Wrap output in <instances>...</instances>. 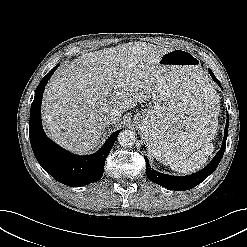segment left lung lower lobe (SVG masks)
<instances>
[{"label": "left lung lower lobe", "mask_w": 247, "mask_h": 247, "mask_svg": "<svg viewBox=\"0 0 247 247\" xmlns=\"http://www.w3.org/2000/svg\"><path fill=\"white\" fill-rule=\"evenodd\" d=\"M210 75L212 76L213 80L221 86L219 80L215 77L213 72L209 69ZM228 114H227V121H226V126H225V133H224V139L222 142L221 149L219 152L215 155V157L212 159V161L201 171L189 175V176H183V177H178V176H170L166 174H162L160 172H157L153 169H151L149 165L148 159L145 157L146 160V173L147 177L149 180L152 182L159 184L167 189L170 190H176V191H184V190H189L192 189L193 187L197 186L200 184L202 181H204L210 174L214 172V170L217 168L218 164L220 163L225 147H226V139H227V134H228Z\"/></svg>", "instance_id": "0a47b994"}]
</instances>
